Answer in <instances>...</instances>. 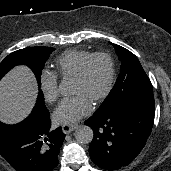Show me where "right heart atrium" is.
Listing matches in <instances>:
<instances>
[{"instance_id":"d8ad5b80","label":"right heart atrium","mask_w":171,"mask_h":171,"mask_svg":"<svg viewBox=\"0 0 171 171\" xmlns=\"http://www.w3.org/2000/svg\"><path fill=\"white\" fill-rule=\"evenodd\" d=\"M39 87L47 103H54L58 99V77L55 73L43 71L39 77Z\"/></svg>"}]
</instances>
